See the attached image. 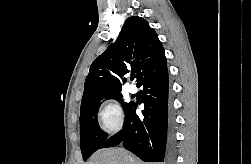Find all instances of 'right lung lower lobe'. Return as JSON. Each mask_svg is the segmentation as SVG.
<instances>
[{
	"label": "right lung lower lobe",
	"mask_w": 251,
	"mask_h": 164,
	"mask_svg": "<svg viewBox=\"0 0 251 164\" xmlns=\"http://www.w3.org/2000/svg\"><path fill=\"white\" fill-rule=\"evenodd\" d=\"M143 88L141 103H144V118L136 115L137 104L125 111L123 130L100 146L113 147L119 144L144 162H172L174 157L172 120L168 112V71L166 64L147 73L138 83Z\"/></svg>",
	"instance_id": "obj_1"
}]
</instances>
